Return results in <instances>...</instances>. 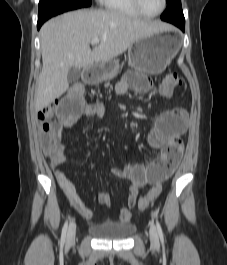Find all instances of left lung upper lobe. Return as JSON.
I'll return each mask as SVG.
<instances>
[{
    "mask_svg": "<svg viewBox=\"0 0 227 265\" xmlns=\"http://www.w3.org/2000/svg\"><path fill=\"white\" fill-rule=\"evenodd\" d=\"M167 9L161 15V19L167 22L181 21L185 22L181 0H166Z\"/></svg>",
    "mask_w": 227,
    "mask_h": 265,
    "instance_id": "5c2ea615",
    "label": "left lung upper lobe"
}]
</instances>
